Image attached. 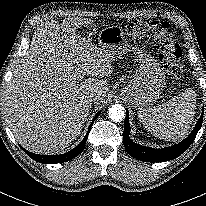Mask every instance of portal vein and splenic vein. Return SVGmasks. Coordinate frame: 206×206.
<instances>
[{
	"instance_id": "portal-vein-and-splenic-vein-1",
	"label": "portal vein and splenic vein",
	"mask_w": 206,
	"mask_h": 206,
	"mask_svg": "<svg viewBox=\"0 0 206 206\" xmlns=\"http://www.w3.org/2000/svg\"><path fill=\"white\" fill-rule=\"evenodd\" d=\"M76 75H77L78 78H82L83 77V74H81L79 69L76 70Z\"/></svg>"
}]
</instances>
